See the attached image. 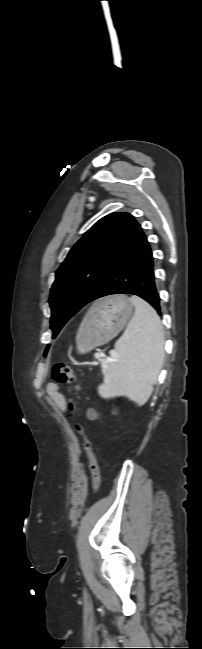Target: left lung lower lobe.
<instances>
[{"label": "left lung lower lobe", "mask_w": 202, "mask_h": 649, "mask_svg": "<svg viewBox=\"0 0 202 649\" xmlns=\"http://www.w3.org/2000/svg\"><path fill=\"white\" fill-rule=\"evenodd\" d=\"M112 294L137 295L149 302L161 315L154 276V258L142 229L105 278L93 300ZM48 349L49 345L45 349V355Z\"/></svg>", "instance_id": "1"}]
</instances>
